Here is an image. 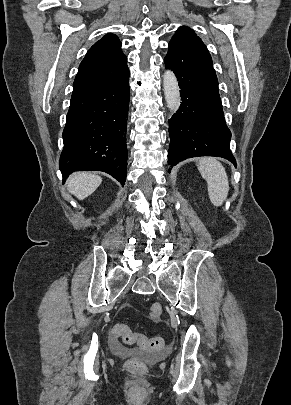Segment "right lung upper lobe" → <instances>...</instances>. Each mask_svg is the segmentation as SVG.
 <instances>
[{
    "label": "right lung upper lobe",
    "instance_id": "right-lung-upper-lobe-1",
    "mask_svg": "<svg viewBox=\"0 0 291 405\" xmlns=\"http://www.w3.org/2000/svg\"><path fill=\"white\" fill-rule=\"evenodd\" d=\"M128 71L127 57L115 34H107L87 52L73 83L72 95L104 82L115 80Z\"/></svg>",
    "mask_w": 291,
    "mask_h": 405
}]
</instances>
